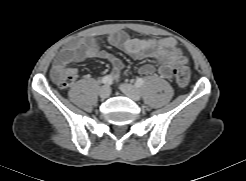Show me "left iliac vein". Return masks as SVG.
<instances>
[{"instance_id":"obj_1","label":"left iliac vein","mask_w":246,"mask_h":181,"mask_svg":"<svg viewBox=\"0 0 246 181\" xmlns=\"http://www.w3.org/2000/svg\"><path fill=\"white\" fill-rule=\"evenodd\" d=\"M120 90L134 101H139L142 97L140 90L134 85L128 83H122L120 85Z\"/></svg>"}]
</instances>
